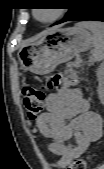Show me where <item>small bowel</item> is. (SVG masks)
Instances as JSON below:
<instances>
[{
    "label": "small bowel",
    "instance_id": "obj_1",
    "mask_svg": "<svg viewBox=\"0 0 104 169\" xmlns=\"http://www.w3.org/2000/svg\"><path fill=\"white\" fill-rule=\"evenodd\" d=\"M45 107L36 125L50 140V151L59 156L58 166L64 168L101 137L102 118L90 110L89 101L79 89L65 88L48 94ZM73 137L75 144H67Z\"/></svg>",
    "mask_w": 104,
    "mask_h": 169
}]
</instances>
